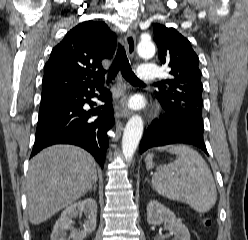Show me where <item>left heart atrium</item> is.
Listing matches in <instances>:
<instances>
[{
	"instance_id": "obj_1",
	"label": "left heart atrium",
	"mask_w": 248,
	"mask_h": 240,
	"mask_svg": "<svg viewBox=\"0 0 248 240\" xmlns=\"http://www.w3.org/2000/svg\"><path fill=\"white\" fill-rule=\"evenodd\" d=\"M130 104L132 107H139L140 106V101L138 98H133L131 101H130Z\"/></svg>"
}]
</instances>
